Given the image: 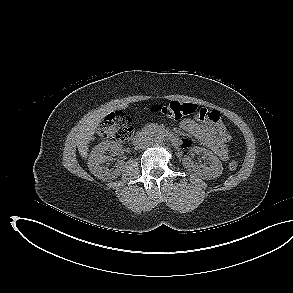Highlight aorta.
Masks as SVG:
<instances>
[{"label":"aorta","instance_id":"obj_1","mask_svg":"<svg viewBox=\"0 0 293 293\" xmlns=\"http://www.w3.org/2000/svg\"><path fill=\"white\" fill-rule=\"evenodd\" d=\"M164 136H157V137H155L154 138V141L156 142V143H162L163 141H164Z\"/></svg>","mask_w":293,"mask_h":293}]
</instances>
